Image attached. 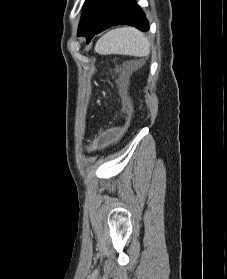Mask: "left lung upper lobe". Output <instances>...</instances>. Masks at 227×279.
<instances>
[{"mask_svg":"<svg viewBox=\"0 0 227 279\" xmlns=\"http://www.w3.org/2000/svg\"><path fill=\"white\" fill-rule=\"evenodd\" d=\"M92 2H93V0H86L85 1V5H84L83 13H82V16H81V19H80L78 30L81 28V26H82V24L84 22L85 16L87 14V11H88V9H89V7H90Z\"/></svg>","mask_w":227,"mask_h":279,"instance_id":"5c2ea615","label":"left lung upper lobe"}]
</instances>
